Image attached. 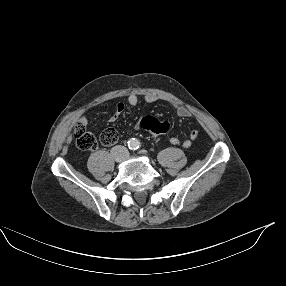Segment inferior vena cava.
Instances as JSON below:
<instances>
[{"instance_id":"1","label":"inferior vena cava","mask_w":286,"mask_h":286,"mask_svg":"<svg viewBox=\"0 0 286 286\" xmlns=\"http://www.w3.org/2000/svg\"><path fill=\"white\" fill-rule=\"evenodd\" d=\"M111 154L113 155L116 161L121 162L128 158L129 151L126 147L117 145L112 148Z\"/></svg>"}]
</instances>
